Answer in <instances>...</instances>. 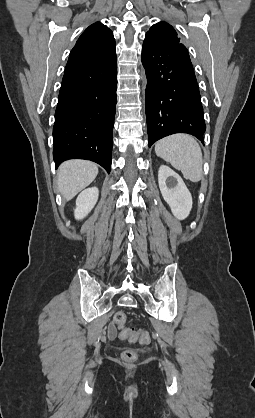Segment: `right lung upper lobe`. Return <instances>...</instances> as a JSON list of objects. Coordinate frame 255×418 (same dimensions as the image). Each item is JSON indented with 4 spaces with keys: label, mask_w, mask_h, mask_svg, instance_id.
Returning <instances> with one entry per match:
<instances>
[{
    "label": "right lung upper lobe",
    "mask_w": 255,
    "mask_h": 418,
    "mask_svg": "<svg viewBox=\"0 0 255 418\" xmlns=\"http://www.w3.org/2000/svg\"><path fill=\"white\" fill-rule=\"evenodd\" d=\"M116 58L112 31L100 22L90 25L70 52L65 71L89 67Z\"/></svg>",
    "instance_id": "right-lung-upper-lobe-1"
}]
</instances>
